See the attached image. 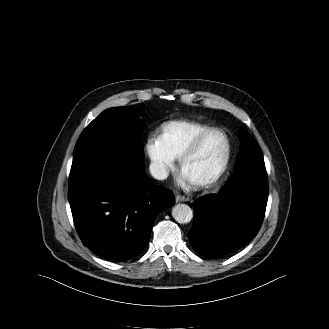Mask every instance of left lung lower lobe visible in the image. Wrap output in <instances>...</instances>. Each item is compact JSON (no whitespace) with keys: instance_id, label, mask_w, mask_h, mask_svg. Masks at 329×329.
<instances>
[{"instance_id":"left-lung-lower-lobe-1","label":"left lung lower lobe","mask_w":329,"mask_h":329,"mask_svg":"<svg viewBox=\"0 0 329 329\" xmlns=\"http://www.w3.org/2000/svg\"><path fill=\"white\" fill-rule=\"evenodd\" d=\"M218 194L194 203V219L188 233L192 248L206 257H222L246 246L258 233L268 199L265 167L240 171Z\"/></svg>"}]
</instances>
